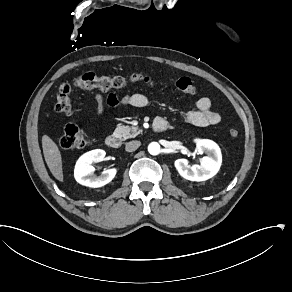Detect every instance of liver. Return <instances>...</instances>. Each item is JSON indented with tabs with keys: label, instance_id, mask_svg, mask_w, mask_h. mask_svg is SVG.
Listing matches in <instances>:
<instances>
[{
	"label": "liver",
	"instance_id": "liver-1",
	"mask_svg": "<svg viewBox=\"0 0 292 292\" xmlns=\"http://www.w3.org/2000/svg\"><path fill=\"white\" fill-rule=\"evenodd\" d=\"M42 148L45 157V161L53 174V176L59 180L63 181V171H62V159L58 146L53 142V140L44 135L42 137Z\"/></svg>",
	"mask_w": 292,
	"mask_h": 292
}]
</instances>
